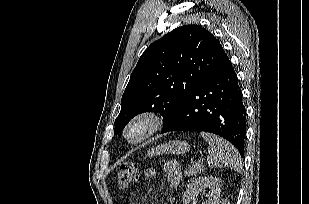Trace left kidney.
Returning a JSON list of instances; mask_svg holds the SVG:
<instances>
[{
	"instance_id": "obj_1",
	"label": "left kidney",
	"mask_w": 309,
	"mask_h": 204,
	"mask_svg": "<svg viewBox=\"0 0 309 204\" xmlns=\"http://www.w3.org/2000/svg\"><path fill=\"white\" fill-rule=\"evenodd\" d=\"M222 182L218 177H198L189 183L186 191L183 195V203L189 204L195 199L198 191L202 189H209L207 194V201L203 204H219L220 203V192Z\"/></svg>"
}]
</instances>
